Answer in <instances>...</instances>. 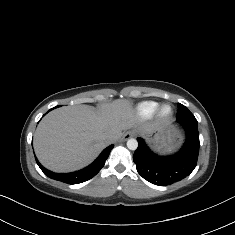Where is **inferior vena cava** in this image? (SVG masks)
I'll list each match as a JSON object with an SVG mask.
<instances>
[{
    "label": "inferior vena cava",
    "mask_w": 235,
    "mask_h": 235,
    "mask_svg": "<svg viewBox=\"0 0 235 235\" xmlns=\"http://www.w3.org/2000/svg\"><path fill=\"white\" fill-rule=\"evenodd\" d=\"M121 134H110L107 135L106 137V141H108V143H114L116 140H118L120 138Z\"/></svg>",
    "instance_id": "obj_1"
}]
</instances>
